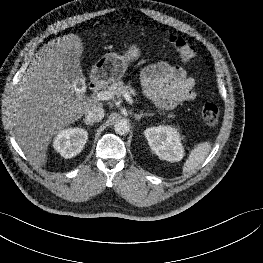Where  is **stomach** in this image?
I'll return each instance as SVG.
<instances>
[{
	"label": "stomach",
	"mask_w": 263,
	"mask_h": 263,
	"mask_svg": "<svg viewBox=\"0 0 263 263\" xmlns=\"http://www.w3.org/2000/svg\"><path fill=\"white\" fill-rule=\"evenodd\" d=\"M141 56V48L137 44H131L123 55L107 53L93 65L90 77L93 81L112 83L120 80L130 63L135 62Z\"/></svg>",
	"instance_id": "stomach-1"
}]
</instances>
